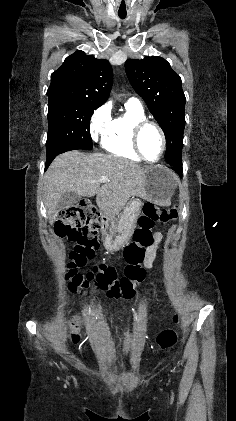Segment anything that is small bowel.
I'll return each instance as SVG.
<instances>
[{"mask_svg":"<svg viewBox=\"0 0 236 421\" xmlns=\"http://www.w3.org/2000/svg\"><path fill=\"white\" fill-rule=\"evenodd\" d=\"M155 239H156V245H157L160 242V240H161V234L159 232H156L155 233Z\"/></svg>","mask_w":236,"mask_h":421,"instance_id":"small-bowel-1","label":"small bowel"}]
</instances>
